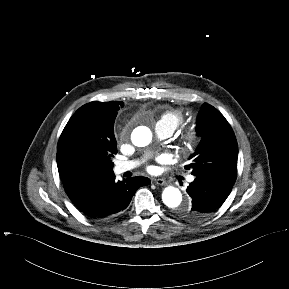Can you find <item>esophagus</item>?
<instances>
[{"label": "esophagus", "mask_w": 289, "mask_h": 289, "mask_svg": "<svg viewBox=\"0 0 289 289\" xmlns=\"http://www.w3.org/2000/svg\"><path fill=\"white\" fill-rule=\"evenodd\" d=\"M153 181L157 184V185H166L167 182L165 179L163 178H155L153 179Z\"/></svg>", "instance_id": "34e87169"}]
</instances>
